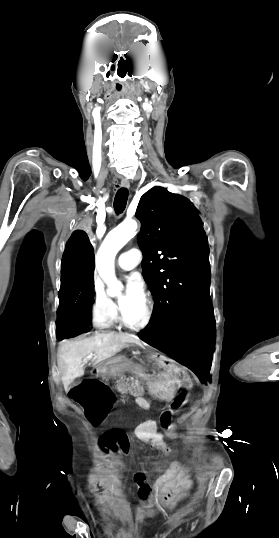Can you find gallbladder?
I'll use <instances>...</instances> for the list:
<instances>
[{
  "label": "gallbladder",
  "mask_w": 279,
  "mask_h": 538,
  "mask_svg": "<svg viewBox=\"0 0 279 538\" xmlns=\"http://www.w3.org/2000/svg\"><path fill=\"white\" fill-rule=\"evenodd\" d=\"M80 382H81V380H79V378H78V380H75V382H73L72 386H77V384H80Z\"/></svg>",
  "instance_id": "gallbladder-1"
}]
</instances>
